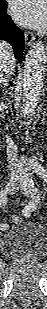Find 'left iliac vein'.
<instances>
[{
    "label": "left iliac vein",
    "mask_w": 47,
    "mask_h": 309,
    "mask_svg": "<svg viewBox=\"0 0 47 309\" xmlns=\"http://www.w3.org/2000/svg\"><path fill=\"white\" fill-rule=\"evenodd\" d=\"M20 189L23 194L32 199L30 205L35 208L36 204L40 200V194L37 187L32 185L27 180H23V182H21Z\"/></svg>",
    "instance_id": "4c4485c4"
}]
</instances>
